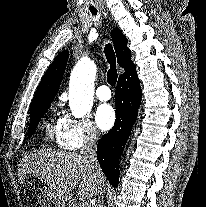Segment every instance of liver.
Here are the masks:
<instances>
[{
    "label": "liver",
    "instance_id": "1",
    "mask_svg": "<svg viewBox=\"0 0 206 207\" xmlns=\"http://www.w3.org/2000/svg\"><path fill=\"white\" fill-rule=\"evenodd\" d=\"M27 174H33L46 184L47 196L57 207L70 206L72 191L78 187V195L92 198L97 194L93 175L80 153L55 150H38L24 156L18 172L22 182ZM102 188L105 178L101 175Z\"/></svg>",
    "mask_w": 206,
    "mask_h": 207
}]
</instances>
